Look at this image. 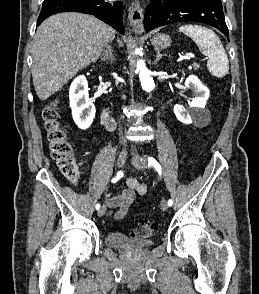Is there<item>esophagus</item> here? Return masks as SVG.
Listing matches in <instances>:
<instances>
[{
  "instance_id": "obj_1",
  "label": "esophagus",
  "mask_w": 259,
  "mask_h": 294,
  "mask_svg": "<svg viewBox=\"0 0 259 294\" xmlns=\"http://www.w3.org/2000/svg\"><path fill=\"white\" fill-rule=\"evenodd\" d=\"M130 25L137 34L144 32L143 9L138 1L132 2L128 9Z\"/></svg>"
}]
</instances>
